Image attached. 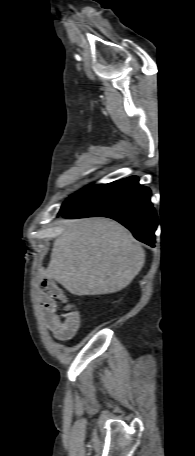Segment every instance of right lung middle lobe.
Here are the masks:
<instances>
[{
	"instance_id": "1",
	"label": "right lung middle lobe",
	"mask_w": 195,
	"mask_h": 456,
	"mask_svg": "<svg viewBox=\"0 0 195 456\" xmlns=\"http://www.w3.org/2000/svg\"><path fill=\"white\" fill-rule=\"evenodd\" d=\"M108 184H101L88 187L80 192L75 193L71 197H69L62 205L60 212L68 211L83 202L87 201L89 198L97 194L103 188H105Z\"/></svg>"
}]
</instances>
